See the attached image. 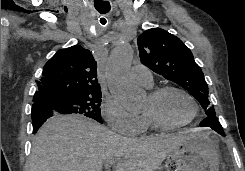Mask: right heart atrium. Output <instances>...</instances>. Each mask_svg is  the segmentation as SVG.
<instances>
[{"instance_id": "d8ad5b80", "label": "right heart atrium", "mask_w": 245, "mask_h": 171, "mask_svg": "<svg viewBox=\"0 0 245 171\" xmlns=\"http://www.w3.org/2000/svg\"><path fill=\"white\" fill-rule=\"evenodd\" d=\"M102 115L107 125L118 134L136 136L144 129L142 116L129 112L114 99L104 103Z\"/></svg>"}]
</instances>
